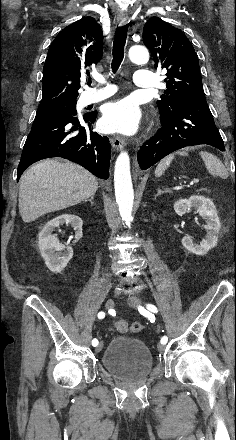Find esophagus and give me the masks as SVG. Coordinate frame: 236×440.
<instances>
[{
  "label": "esophagus",
  "mask_w": 236,
  "mask_h": 440,
  "mask_svg": "<svg viewBox=\"0 0 236 440\" xmlns=\"http://www.w3.org/2000/svg\"><path fill=\"white\" fill-rule=\"evenodd\" d=\"M118 20L121 26L126 25L129 21V17L125 11H120L118 14ZM112 146L116 150H120L124 147L125 141L123 138L116 136L111 139Z\"/></svg>",
  "instance_id": "obj_1"
}]
</instances>
